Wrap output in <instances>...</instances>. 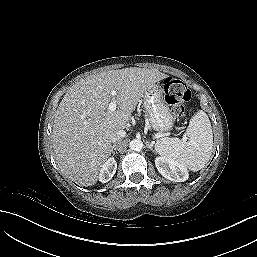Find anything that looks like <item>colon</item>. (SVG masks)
<instances>
[{"mask_svg":"<svg viewBox=\"0 0 257 257\" xmlns=\"http://www.w3.org/2000/svg\"><path fill=\"white\" fill-rule=\"evenodd\" d=\"M163 92L167 104L176 117H183L186 104L191 99V91L180 80L168 77L163 81Z\"/></svg>","mask_w":257,"mask_h":257,"instance_id":"5ec220e1","label":"colon"}]
</instances>
